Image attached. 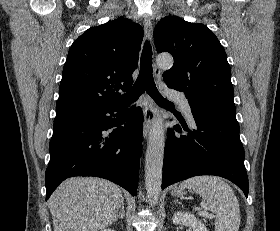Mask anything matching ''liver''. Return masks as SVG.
I'll return each mask as SVG.
<instances>
[{
    "instance_id": "liver-1",
    "label": "liver",
    "mask_w": 280,
    "mask_h": 231,
    "mask_svg": "<svg viewBox=\"0 0 280 231\" xmlns=\"http://www.w3.org/2000/svg\"><path fill=\"white\" fill-rule=\"evenodd\" d=\"M124 197L121 187L100 177H69L49 199L54 231H98L113 223Z\"/></svg>"
}]
</instances>
